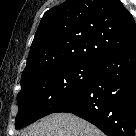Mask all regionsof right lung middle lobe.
Listing matches in <instances>:
<instances>
[{
	"label": "right lung middle lobe",
	"mask_w": 136,
	"mask_h": 136,
	"mask_svg": "<svg viewBox=\"0 0 136 136\" xmlns=\"http://www.w3.org/2000/svg\"><path fill=\"white\" fill-rule=\"evenodd\" d=\"M97 64L48 67L22 81L17 96L16 129L54 113L80 94L92 81Z\"/></svg>",
	"instance_id": "1"
}]
</instances>
